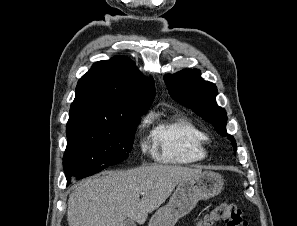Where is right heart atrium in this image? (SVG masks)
Here are the masks:
<instances>
[{
    "mask_svg": "<svg viewBox=\"0 0 297 226\" xmlns=\"http://www.w3.org/2000/svg\"><path fill=\"white\" fill-rule=\"evenodd\" d=\"M144 150H147V147H144Z\"/></svg>",
    "mask_w": 297,
    "mask_h": 226,
    "instance_id": "d8ad5b80",
    "label": "right heart atrium"
}]
</instances>
